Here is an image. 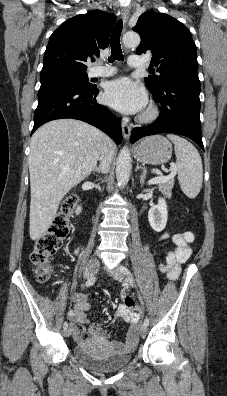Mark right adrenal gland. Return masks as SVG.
Wrapping results in <instances>:
<instances>
[{
	"mask_svg": "<svg viewBox=\"0 0 227 396\" xmlns=\"http://www.w3.org/2000/svg\"><path fill=\"white\" fill-rule=\"evenodd\" d=\"M93 173L99 174V173H102V170L100 167L95 166V168L93 169Z\"/></svg>",
	"mask_w": 227,
	"mask_h": 396,
	"instance_id": "right-adrenal-gland-1",
	"label": "right adrenal gland"
}]
</instances>
